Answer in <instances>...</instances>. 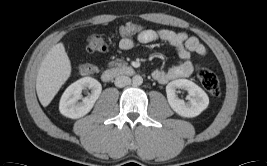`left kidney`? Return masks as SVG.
I'll list each match as a JSON object with an SVG mask.
<instances>
[{"label": "left kidney", "instance_id": "5707ae66", "mask_svg": "<svg viewBox=\"0 0 267 166\" xmlns=\"http://www.w3.org/2000/svg\"><path fill=\"white\" fill-rule=\"evenodd\" d=\"M181 88L188 92V102L178 98L176 89ZM168 103L171 108L182 117H196L209 104L208 95L194 82L187 79L171 81L166 86Z\"/></svg>", "mask_w": 267, "mask_h": 166}]
</instances>
